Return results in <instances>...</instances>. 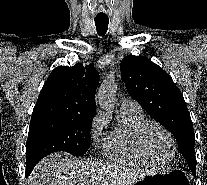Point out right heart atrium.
<instances>
[{
	"instance_id": "right-heart-atrium-1",
	"label": "right heart atrium",
	"mask_w": 207,
	"mask_h": 185,
	"mask_svg": "<svg viewBox=\"0 0 207 185\" xmlns=\"http://www.w3.org/2000/svg\"><path fill=\"white\" fill-rule=\"evenodd\" d=\"M109 122V115L104 111H98L91 123V135L93 138L100 136Z\"/></svg>"
}]
</instances>
